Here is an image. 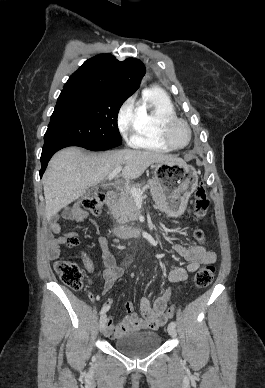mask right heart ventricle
<instances>
[{
    "label": "right heart ventricle",
    "instance_id": "e07e8e85",
    "mask_svg": "<svg viewBox=\"0 0 265 388\" xmlns=\"http://www.w3.org/2000/svg\"><path fill=\"white\" fill-rule=\"evenodd\" d=\"M138 105L132 144L154 151H169L171 146L162 136V125L166 118L175 115V110L165 91H148Z\"/></svg>",
    "mask_w": 265,
    "mask_h": 388
}]
</instances>
